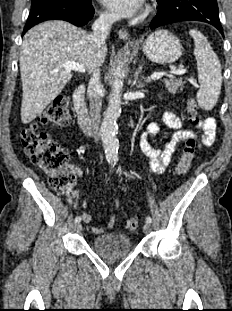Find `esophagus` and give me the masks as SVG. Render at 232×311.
I'll return each instance as SVG.
<instances>
[{
    "label": "esophagus",
    "mask_w": 232,
    "mask_h": 311,
    "mask_svg": "<svg viewBox=\"0 0 232 311\" xmlns=\"http://www.w3.org/2000/svg\"><path fill=\"white\" fill-rule=\"evenodd\" d=\"M118 35L123 40H128L130 38L128 31L124 29L119 30Z\"/></svg>",
    "instance_id": "34e87169"
}]
</instances>
